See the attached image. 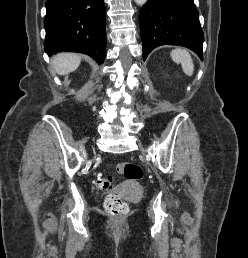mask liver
<instances>
[{"label": "liver", "mask_w": 248, "mask_h": 258, "mask_svg": "<svg viewBox=\"0 0 248 258\" xmlns=\"http://www.w3.org/2000/svg\"><path fill=\"white\" fill-rule=\"evenodd\" d=\"M80 61L81 56L78 54L59 53L53 58L52 63L57 74L66 75L75 71L79 67Z\"/></svg>", "instance_id": "liver-1"}]
</instances>
